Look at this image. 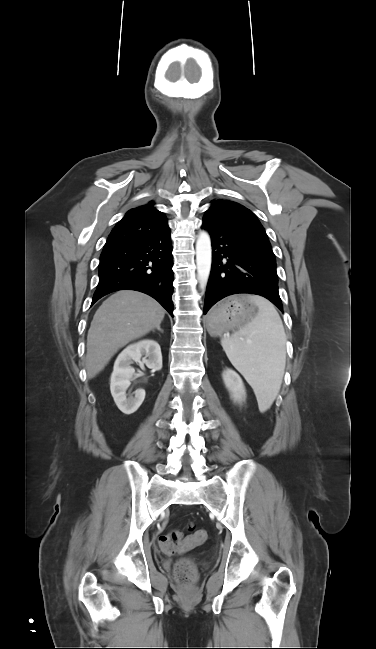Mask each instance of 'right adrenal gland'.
Listing matches in <instances>:
<instances>
[{
    "label": "right adrenal gland",
    "mask_w": 376,
    "mask_h": 649,
    "mask_svg": "<svg viewBox=\"0 0 376 649\" xmlns=\"http://www.w3.org/2000/svg\"><path fill=\"white\" fill-rule=\"evenodd\" d=\"M157 330L161 333H163V330L160 328V326L157 327ZM153 332L155 331L154 329L152 330Z\"/></svg>",
    "instance_id": "1"
}]
</instances>
